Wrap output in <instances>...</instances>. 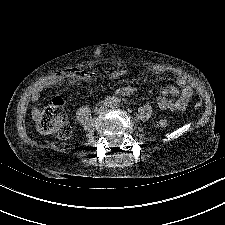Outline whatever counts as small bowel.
Instances as JSON below:
<instances>
[{
  "mask_svg": "<svg viewBox=\"0 0 225 225\" xmlns=\"http://www.w3.org/2000/svg\"><path fill=\"white\" fill-rule=\"evenodd\" d=\"M161 69H155V73H162ZM125 71L118 69L110 73V76L114 79L121 78L125 75ZM96 78V74L92 71H77V70H68L65 72L54 73L46 77L32 92L31 101L38 102L41 98L43 90L46 88L54 87L68 81L72 86H78L81 82L92 81ZM177 84L182 87L181 94L176 100H169L166 98L168 95L175 96L179 93V90L175 86H168L161 89V96L157 100V104L162 110H183L189 101V98L192 96V89L187 84V81L184 77H179L177 79ZM135 92V88L130 85L121 86L117 89V93L120 96L128 97ZM38 110L34 111L35 118L38 114Z\"/></svg>",
  "mask_w": 225,
  "mask_h": 225,
  "instance_id": "obj_1",
  "label": "small bowel"
}]
</instances>
